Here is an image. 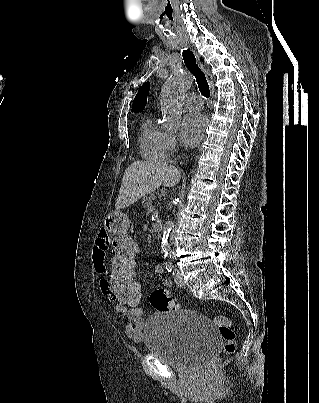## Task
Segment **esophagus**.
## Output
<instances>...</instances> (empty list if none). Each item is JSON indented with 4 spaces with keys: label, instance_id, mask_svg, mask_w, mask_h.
Segmentation results:
<instances>
[{
    "label": "esophagus",
    "instance_id": "obj_1",
    "mask_svg": "<svg viewBox=\"0 0 319 403\" xmlns=\"http://www.w3.org/2000/svg\"><path fill=\"white\" fill-rule=\"evenodd\" d=\"M193 52H194L195 56L198 58V60H199L197 52L195 50H193ZM200 66H201L202 70L204 71V73L206 75V78H207V81L209 83L210 92H211V101H212L213 96H214V92H215L213 78H212L211 74L201 64H200Z\"/></svg>",
    "mask_w": 319,
    "mask_h": 403
}]
</instances>
